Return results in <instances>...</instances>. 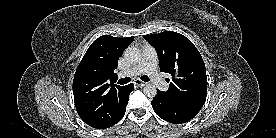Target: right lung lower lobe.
Listing matches in <instances>:
<instances>
[{
	"instance_id": "98d812e1",
	"label": "right lung lower lobe",
	"mask_w": 276,
	"mask_h": 138,
	"mask_svg": "<svg viewBox=\"0 0 276 138\" xmlns=\"http://www.w3.org/2000/svg\"><path fill=\"white\" fill-rule=\"evenodd\" d=\"M133 87H134V85L131 83V84H129V85H127V97H126V102H125V105H124V107H123V109H122V111H121V114L119 115V117L117 118V120H116V123L117 122H119L121 119H122V117L124 116V114H125V111H126V105L128 104V100H129V94L131 93V91L133 90ZM115 123V124H116ZM114 124V125H115Z\"/></svg>"
}]
</instances>
